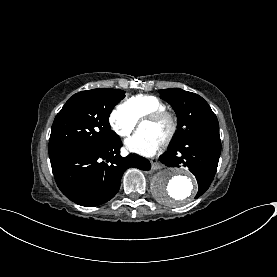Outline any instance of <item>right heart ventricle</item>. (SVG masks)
<instances>
[{"label":"right heart ventricle","mask_w":277,"mask_h":277,"mask_svg":"<svg viewBox=\"0 0 277 277\" xmlns=\"http://www.w3.org/2000/svg\"><path fill=\"white\" fill-rule=\"evenodd\" d=\"M124 106L136 121L141 120L149 111L166 109L165 104L157 97L143 94L132 96Z\"/></svg>","instance_id":"e07e8e85"}]
</instances>
